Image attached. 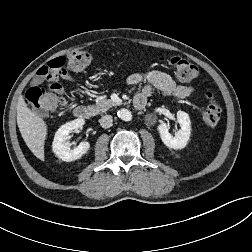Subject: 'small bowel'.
I'll use <instances>...</instances> for the list:
<instances>
[{
  "mask_svg": "<svg viewBox=\"0 0 252 252\" xmlns=\"http://www.w3.org/2000/svg\"><path fill=\"white\" fill-rule=\"evenodd\" d=\"M60 76L68 82L75 81L74 77L65 70L60 74ZM128 83L130 85L144 83L141 91L134 99L135 102H143L144 104L147 98L153 94L154 88L158 89L166 96H173L179 99L189 97L194 91L192 86L179 85L168 74L158 70H150L144 73L131 75L128 79Z\"/></svg>",
  "mask_w": 252,
  "mask_h": 252,
  "instance_id": "small-bowel-1",
  "label": "small bowel"
}]
</instances>
